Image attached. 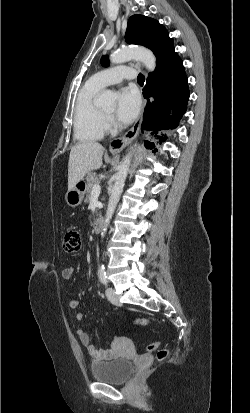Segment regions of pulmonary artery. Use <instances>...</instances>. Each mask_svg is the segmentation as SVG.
I'll return each mask as SVG.
<instances>
[{
  "instance_id": "pulmonary-artery-1",
  "label": "pulmonary artery",
  "mask_w": 250,
  "mask_h": 413,
  "mask_svg": "<svg viewBox=\"0 0 250 413\" xmlns=\"http://www.w3.org/2000/svg\"><path fill=\"white\" fill-rule=\"evenodd\" d=\"M136 71L125 66H116L103 71H100L91 77V80L101 88L117 84L124 79H134Z\"/></svg>"
}]
</instances>
